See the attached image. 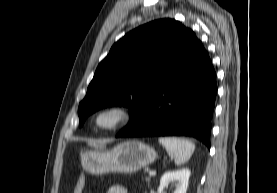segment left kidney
<instances>
[{"label":"left kidney","mask_w":277,"mask_h":193,"mask_svg":"<svg viewBox=\"0 0 277 193\" xmlns=\"http://www.w3.org/2000/svg\"><path fill=\"white\" fill-rule=\"evenodd\" d=\"M189 177L190 170L188 168L166 172L160 179L157 193H162L163 189L168 186L169 183L173 182H175L176 187L173 193H186Z\"/></svg>","instance_id":"obj_1"}]
</instances>
